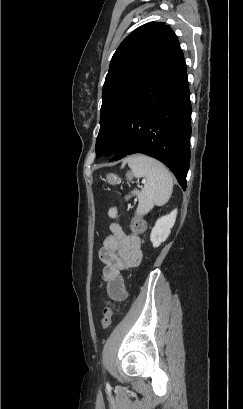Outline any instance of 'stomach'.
<instances>
[{
    "instance_id": "0dacf381",
    "label": "stomach",
    "mask_w": 243,
    "mask_h": 409,
    "mask_svg": "<svg viewBox=\"0 0 243 409\" xmlns=\"http://www.w3.org/2000/svg\"><path fill=\"white\" fill-rule=\"evenodd\" d=\"M126 177H127V180L131 181L133 178V174L128 172L126 174ZM106 181L111 185H116L121 182V179L117 175L110 173V174H107Z\"/></svg>"
}]
</instances>
